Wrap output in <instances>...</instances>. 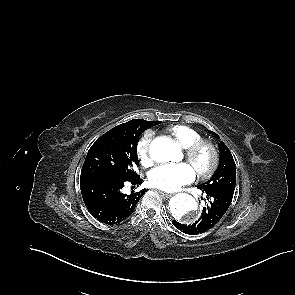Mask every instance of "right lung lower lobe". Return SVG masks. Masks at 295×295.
I'll return each mask as SVG.
<instances>
[{
  "label": "right lung lower lobe",
  "mask_w": 295,
  "mask_h": 295,
  "mask_svg": "<svg viewBox=\"0 0 295 295\" xmlns=\"http://www.w3.org/2000/svg\"><path fill=\"white\" fill-rule=\"evenodd\" d=\"M127 182L141 185L142 179L139 175L128 179L109 176L81 178V193L89 212L100 222L110 225L128 218L146 189L124 194L122 188Z\"/></svg>",
  "instance_id": "right-lung-lower-lobe-1"
}]
</instances>
